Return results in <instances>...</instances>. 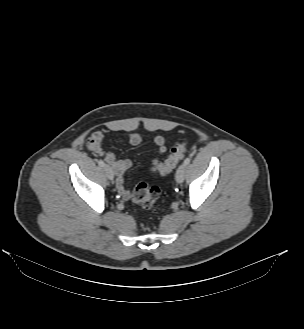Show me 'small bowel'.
<instances>
[{
  "mask_svg": "<svg viewBox=\"0 0 304 329\" xmlns=\"http://www.w3.org/2000/svg\"><path fill=\"white\" fill-rule=\"evenodd\" d=\"M131 145H138L142 142V137L137 133L129 134L125 139ZM104 133L102 131H95L86 141V147L88 150L99 155L103 160L110 165L116 175V188L119 194L124 198H129V191L125 187L123 173L132 166V162L129 159H118L112 152H107L103 149ZM153 144L156 146L159 154L163 155L167 152V146L165 139L157 135L153 138ZM157 160L154 163L157 164Z\"/></svg>",
  "mask_w": 304,
  "mask_h": 329,
  "instance_id": "1",
  "label": "small bowel"
}]
</instances>
